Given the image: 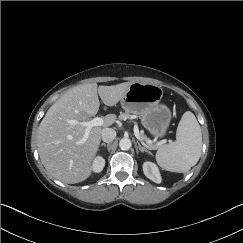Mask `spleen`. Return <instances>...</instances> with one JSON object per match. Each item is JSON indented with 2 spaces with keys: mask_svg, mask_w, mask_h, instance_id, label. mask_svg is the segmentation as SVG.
Wrapping results in <instances>:
<instances>
[{
  "mask_svg": "<svg viewBox=\"0 0 243 243\" xmlns=\"http://www.w3.org/2000/svg\"><path fill=\"white\" fill-rule=\"evenodd\" d=\"M202 150V133L195 115L186 111L177 127L176 141L161 146L158 165L167 171L186 173L197 164Z\"/></svg>",
  "mask_w": 243,
  "mask_h": 243,
  "instance_id": "3e777b00",
  "label": "spleen"
}]
</instances>
